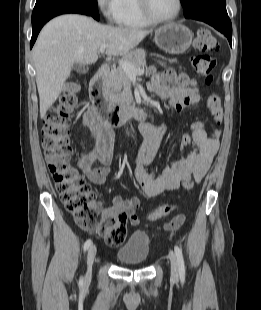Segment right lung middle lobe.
Wrapping results in <instances>:
<instances>
[{"mask_svg": "<svg viewBox=\"0 0 261 310\" xmlns=\"http://www.w3.org/2000/svg\"><path fill=\"white\" fill-rule=\"evenodd\" d=\"M56 8L81 10L87 12L94 19L99 20L97 0H36L32 18L44 11Z\"/></svg>", "mask_w": 261, "mask_h": 310, "instance_id": "1", "label": "right lung middle lobe"}]
</instances>
